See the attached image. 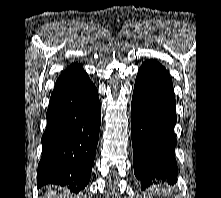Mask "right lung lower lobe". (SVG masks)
I'll return each mask as SVG.
<instances>
[{"mask_svg": "<svg viewBox=\"0 0 221 198\" xmlns=\"http://www.w3.org/2000/svg\"><path fill=\"white\" fill-rule=\"evenodd\" d=\"M97 96L86 72L54 88L41 140L38 187L56 184L78 193L88 184L101 122Z\"/></svg>", "mask_w": 221, "mask_h": 198, "instance_id": "obj_1", "label": "right lung lower lobe"}]
</instances>
